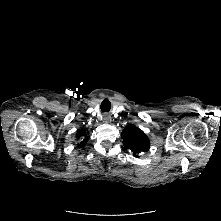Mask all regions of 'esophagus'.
<instances>
[{
    "instance_id": "1",
    "label": "esophagus",
    "mask_w": 221,
    "mask_h": 221,
    "mask_svg": "<svg viewBox=\"0 0 221 221\" xmlns=\"http://www.w3.org/2000/svg\"><path fill=\"white\" fill-rule=\"evenodd\" d=\"M103 120H104V122H109L110 115L109 114H103Z\"/></svg>"
}]
</instances>
